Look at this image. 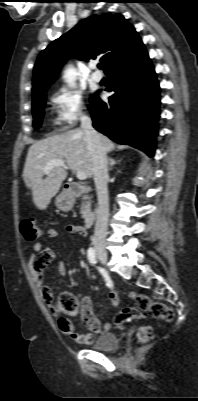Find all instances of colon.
Returning <instances> with one entry per match:
<instances>
[{
    "label": "colon",
    "mask_w": 198,
    "mask_h": 401,
    "mask_svg": "<svg viewBox=\"0 0 198 401\" xmlns=\"http://www.w3.org/2000/svg\"><path fill=\"white\" fill-rule=\"evenodd\" d=\"M20 230L25 239L34 241L40 236V229L35 220L30 217H24L20 220ZM132 299L135 300L137 307H125L114 316V322L118 326L138 319L143 313H148L154 318L164 321H170L173 318V311L165 303L155 301L150 297L132 293ZM78 310L76 299L69 293L60 294L56 303L51 306L53 314L60 316L63 313H74ZM152 338V331L149 327H142L138 333L140 343H147Z\"/></svg>",
    "instance_id": "5ec220e1"
}]
</instances>
